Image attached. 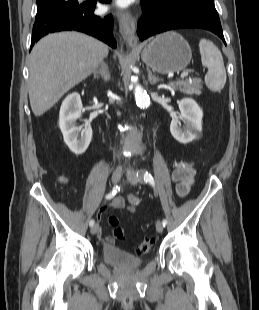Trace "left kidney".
I'll return each instance as SVG.
<instances>
[{
    "label": "left kidney",
    "instance_id": "left-kidney-1",
    "mask_svg": "<svg viewBox=\"0 0 259 310\" xmlns=\"http://www.w3.org/2000/svg\"><path fill=\"white\" fill-rule=\"evenodd\" d=\"M180 115L170 124L172 136L180 143L187 144L198 138L202 130L203 111L196 101L184 98L179 102ZM181 121L185 127L181 129Z\"/></svg>",
    "mask_w": 259,
    "mask_h": 310
}]
</instances>
